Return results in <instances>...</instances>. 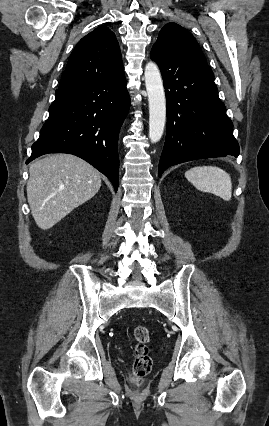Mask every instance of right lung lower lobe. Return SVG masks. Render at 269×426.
Here are the masks:
<instances>
[{
    "mask_svg": "<svg viewBox=\"0 0 269 426\" xmlns=\"http://www.w3.org/2000/svg\"><path fill=\"white\" fill-rule=\"evenodd\" d=\"M130 99L124 71L112 78L58 89L27 164L48 153L76 155L119 181L118 135Z\"/></svg>",
    "mask_w": 269,
    "mask_h": 426,
    "instance_id": "right-lung-lower-lobe-1",
    "label": "right lung lower lobe"
}]
</instances>
